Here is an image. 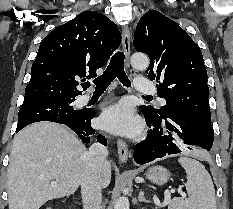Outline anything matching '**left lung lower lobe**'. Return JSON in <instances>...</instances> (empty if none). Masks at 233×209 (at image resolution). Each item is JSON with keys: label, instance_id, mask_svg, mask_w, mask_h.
Segmentation results:
<instances>
[{"label": "left lung lower lobe", "instance_id": "obj_1", "mask_svg": "<svg viewBox=\"0 0 233 209\" xmlns=\"http://www.w3.org/2000/svg\"><path fill=\"white\" fill-rule=\"evenodd\" d=\"M151 128L147 138L138 143L134 150L137 164H145L170 154H181L192 148L209 151L213 145L214 130L211 124L189 115L169 116L159 120L144 113Z\"/></svg>", "mask_w": 233, "mask_h": 209}]
</instances>
